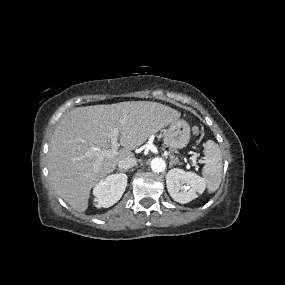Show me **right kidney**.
<instances>
[{
    "label": "right kidney",
    "instance_id": "ca27d5eb",
    "mask_svg": "<svg viewBox=\"0 0 285 285\" xmlns=\"http://www.w3.org/2000/svg\"><path fill=\"white\" fill-rule=\"evenodd\" d=\"M127 186L125 174H112L100 180L93 189L96 207L108 208L119 201Z\"/></svg>",
    "mask_w": 285,
    "mask_h": 285
}]
</instances>
